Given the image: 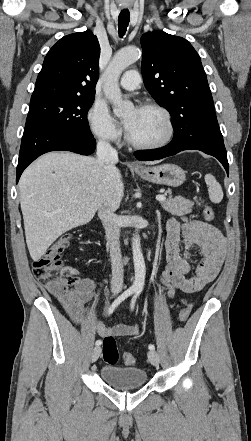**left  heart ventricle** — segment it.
Masks as SVG:
<instances>
[{
  "label": "left heart ventricle",
  "mask_w": 251,
  "mask_h": 441,
  "mask_svg": "<svg viewBox=\"0 0 251 441\" xmlns=\"http://www.w3.org/2000/svg\"><path fill=\"white\" fill-rule=\"evenodd\" d=\"M125 119H132L128 131L131 136L142 143L160 141L167 133V125L163 115L152 109H132Z\"/></svg>",
  "instance_id": "1"
}]
</instances>
